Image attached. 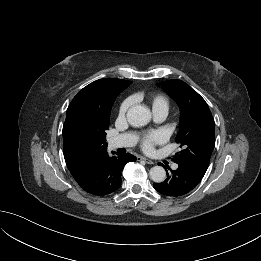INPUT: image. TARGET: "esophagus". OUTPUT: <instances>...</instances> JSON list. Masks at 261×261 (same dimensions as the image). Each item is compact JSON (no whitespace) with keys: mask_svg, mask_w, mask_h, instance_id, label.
Wrapping results in <instances>:
<instances>
[{"mask_svg":"<svg viewBox=\"0 0 261 261\" xmlns=\"http://www.w3.org/2000/svg\"><path fill=\"white\" fill-rule=\"evenodd\" d=\"M141 160L145 161L147 164H154V161L151 159H148L146 157H139Z\"/></svg>","mask_w":261,"mask_h":261,"instance_id":"esophagus-1","label":"esophagus"}]
</instances>
